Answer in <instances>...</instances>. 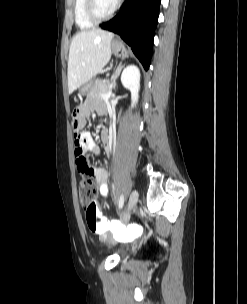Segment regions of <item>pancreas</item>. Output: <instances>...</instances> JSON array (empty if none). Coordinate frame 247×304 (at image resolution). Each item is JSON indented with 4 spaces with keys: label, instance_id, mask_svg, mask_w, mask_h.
<instances>
[{
    "label": "pancreas",
    "instance_id": "pancreas-1",
    "mask_svg": "<svg viewBox=\"0 0 247 304\" xmlns=\"http://www.w3.org/2000/svg\"><path fill=\"white\" fill-rule=\"evenodd\" d=\"M109 81L97 80L94 83L84 87L87 98H101L102 94H106L110 90Z\"/></svg>",
    "mask_w": 247,
    "mask_h": 304
}]
</instances>
